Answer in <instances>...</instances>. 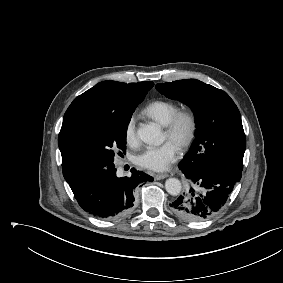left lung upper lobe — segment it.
I'll return each instance as SVG.
<instances>
[{"instance_id": "left-lung-upper-lobe-1", "label": "left lung upper lobe", "mask_w": 283, "mask_h": 283, "mask_svg": "<svg viewBox=\"0 0 283 283\" xmlns=\"http://www.w3.org/2000/svg\"><path fill=\"white\" fill-rule=\"evenodd\" d=\"M155 87L166 97L188 105L196 117V139L180 166L196 171L210 166L243 170L246 137L240 112L226 92L195 79Z\"/></svg>"}]
</instances>
